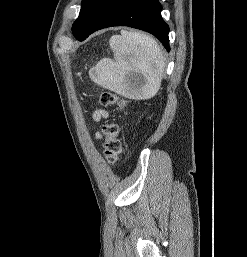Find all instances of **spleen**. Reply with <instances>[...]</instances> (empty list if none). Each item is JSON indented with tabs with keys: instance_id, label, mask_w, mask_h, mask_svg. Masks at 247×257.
Wrapping results in <instances>:
<instances>
[{
	"instance_id": "3e777b00",
	"label": "spleen",
	"mask_w": 247,
	"mask_h": 257,
	"mask_svg": "<svg viewBox=\"0 0 247 257\" xmlns=\"http://www.w3.org/2000/svg\"><path fill=\"white\" fill-rule=\"evenodd\" d=\"M114 61L103 58L89 71L90 78L105 89L132 99L155 96L161 86L165 61L158 43L140 32L121 31L109 41ZM140 73L143 77L139 89L129 85V75Z\"/></svg>"
}]
</instances>
